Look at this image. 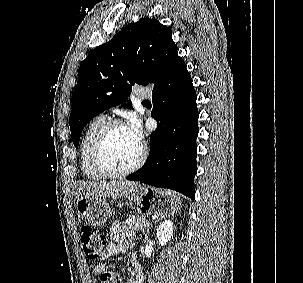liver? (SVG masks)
I'll use <instances>...</instances> for the list:
<instances>
[{
    "label": "liver",
    "mask_w": 303,
    "mask_h": 283,
    "mask_svg": "<svg viewBox=\"0 0 303 283\" xmlns=\"http://www.w3.org/2000/svg\"><path fill=\"white\" fill-rule=\"evenodd\" d=\"M139 188L140 185L137 182L127 180L100 183L82 181L79 183L76 191V198H79L80 196H88L93 198L112 197L117 199L125 197Z\"/></svg>",
    "instance_id": "obj_1"
}]
</instances>
